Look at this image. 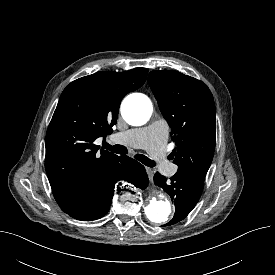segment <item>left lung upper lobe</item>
<instances>
[{
  "label": "left lung upper lobe",
  "mask_w": 275,
  "mask_h": 275,
  "mask_svg": "<svg viewBox=\"0 0 275 275\" xmlns=\"http://www.w3.org/2000/svg\"><path fill=\"white\" fill-rule=\"evenodd\" d=\"M149 85L171 128L177 173L205 180L216 140L215 105L201 81L174 70L151 71Z\"/></svg>",
  "instance_id": "5c2ea615"
}]
</instances>
